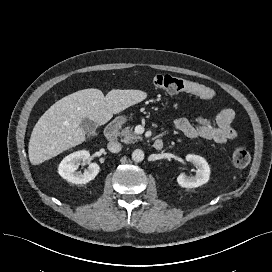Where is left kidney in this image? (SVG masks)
<instances>
[{
  "label": "left kidney",
  "mask_w": 272,
  "mask_h": 272,
  "mask_svg": "<svg viewBox=\"0 0 272 272\" xmlns=\"http://www.w3.org/2000/svg\"><path fill=\"white\" fill-rule=\"evenodd\" d=\"M186 160L196 166V175L190 177L182 173L177 177L178 184L183 188H196L207 183L210 178V167L207 161L195 154H188Z\"/></svg>",
  "instance_id": "left-kidney-1"
}]
</instances>
